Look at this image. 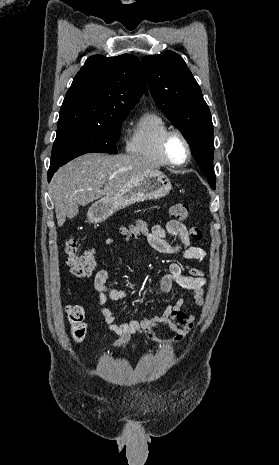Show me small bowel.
Masks as SVG:
<instances>
[{
	"label": "small bowel",
	"instance_id": "obj_1",
	"mask_svg": "<svg viewBox=\"0 0 279 465\" xmlns=\"http://www.w3.org/2000/svg\"><path fill=\"white\" fill-rule=\"evenodd\" d=\"M167 236L178 238V243L172 244L167 240ZM150 246L163 254H180L186 259L202 261L207 258V252L191 244L190 234L187 227L177 220H170L165 226L154 225L147 235ZM105 244L111 246L112 239L106 240ZM108 272L99 270L94 277V288L98 294L100 313L108 329L118 336L116 347L121 349L126 347L132 335L144 334L151 341L162 345H177L182 342L193 330L197 317L194 314L183 310L184 298L180 297L175 303L169 305L165 311L159 315L144 318L142 320H131L125 323H115L114 312L104 307L107 299L112 301L125 300L129 298V293L124 289H119L108 285ZM207 283L204 273L195 268H189L188 274L183 273V269L178 263H172L169 270L160 280V289L163 293H169L174 285L189 293L198 306L204 302V287ZM168 325L175 336L172 339H161L156 336L154 329Z\"/></svg>",
	"mask_w": 279,
	"mask_h": 465
}]
</instances>
